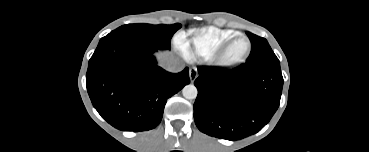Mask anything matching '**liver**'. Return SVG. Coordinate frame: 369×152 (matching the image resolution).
Returning <instances> with one entry per match:
<instances>
[{"label":"liver","instance_id":"obj_1","mask_svg":"<svg viewBox=\"0 0 369 152\" xmlns=\"http://www.w3.org/2000/svg\"><path fill=\"white\" fill-rule=\"evenodd\" d=\"M157 58L159 60V63L162 65L165 60L173 58V56L169 52H162L157 54Z\"/></svg>","mask_w":369,"mask_h":152}]
</instances>
